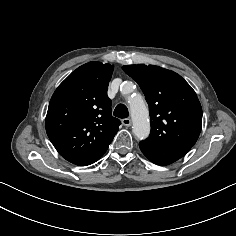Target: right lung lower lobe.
<instances>
[{
  "mask_svg": "<svg viewBox=\"0 0 236 236\" xmlns=\"http://www.w3.org/2000/svg\"><path fill=\"white\" fill-rule=\"evenodd\" d=\"M64 158L76 165H80V166H86V165H90L94 162H96L100 157L98 158H81V157H73V156H64Z\"/></svg>",
  "mask_w": 236,
  "mask_h": 236,
  "instance_id": "right-lung-lower-lobe-1",
  "label": "right lung lower lobe"
}]
</instances>
